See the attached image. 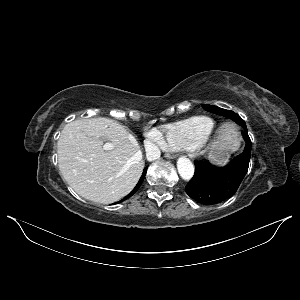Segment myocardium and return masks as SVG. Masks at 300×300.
Returning <instances> with one entry per match:
<instances>
[{
	"label": "myocardium",
	"mask_w": 300,
	"mask_h": 300,
	"mask_svg": "<svg viewBox=\"0 0 300 300\" xmlns=\"http://www.w3.org/2000/svg\"><path fill=\"white\" fill-rule=\"evenodd\" d=\"M207 139L201 141L195 148L198 149V150H202L207 144Z\"/></svg>",
	"instance_id": "f54148a6"
}]
</instances>
